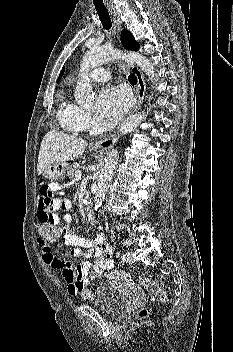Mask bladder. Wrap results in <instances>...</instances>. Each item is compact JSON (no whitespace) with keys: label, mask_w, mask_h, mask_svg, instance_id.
Returning <instances> with one entry per match:
<instances>
[{"label":"bladder","mask_w":233,"mask_h":352,"mask_svg":"<svg viewBox=\"0 0 233 352\" xmlns=\"http://www.w3.org/2000/svg\"><path fill=\"white\" fill-rule=\"evenodd\" d=\"M124 295L108 283L100 284L92 300V306L97 310L108 314H117L125 305Z\"/></svg>","instance_id":"1"}]
</instances>
